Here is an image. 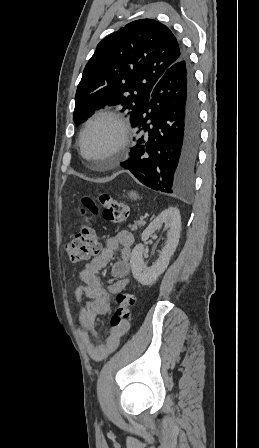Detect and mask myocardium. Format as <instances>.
Returning a JSON list of instances; mask_svg holds the SVG:
<instances>
[{
  "label": "myocardium",
  "mask_w": 259,
  "mask_h": 448,
  "mask_svg": "<svg viewBox=\"0 0 259 448\" xmlns=\"http://www.w3.org/2000/svg\"><path fill=\"white\" fill-rule=\"evenodd\" d=\"M101 121H108L116 127V137L107 148L106 158L115 163L128 137V124L125 118L114 111H100L89 118L83 125L78 138V153L83 159V138L91 125Z\"/></svg>",
  "instance_id": "f54148a6"
}]
</instances>
